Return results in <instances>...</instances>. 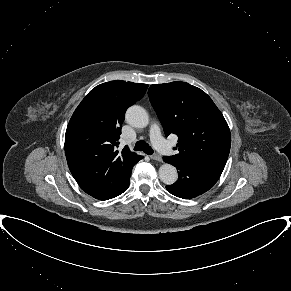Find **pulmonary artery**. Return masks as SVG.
Returning a JSON list of instances; mask_svg holds the SVG:
<instances>
[{
  "mask_svg": "<svg viewBox=\"0 0 291 291\" xmlns=\"http://www.w3.org/2000/svg\"><path fill=\"white\" fill-rule=\"evenodd\" d=\"M150 138L155 148L164 155H172L174 153L171 145L162 137L160 127L154 123L150 127Z\"/></svg>",
  "mask_w": 291,
  "mask_h": 291,
  "instance_id": "obj_1",
  "label": "pulmonary artery"
}]
</instances>
